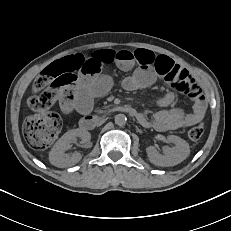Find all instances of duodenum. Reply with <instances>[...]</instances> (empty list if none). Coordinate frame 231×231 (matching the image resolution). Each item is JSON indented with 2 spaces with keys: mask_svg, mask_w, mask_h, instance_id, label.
<instances>
[{
  "mask_svg": "<svg viewBox=\"0 0 231 231\" xmlns=\"http://www.w3.org/2000/svg\"><path fill=\"white\" fill-rule=\"evenodd\" d=\"M117 112H122L129 114L133 118L140 120L142 118V114H140L138 111L133 109L132 107L122 105L116 108ZM100 120L99 117L96 116H85L80 120L79 127L83 131L91 130L95 127L96 124H98V121Z\"/></svg>",
  "mask_w": 231,
  "mask_h": 231,
  "instance_id": "410a0bca",
  "label": "duodenum"
}]
</instances>
